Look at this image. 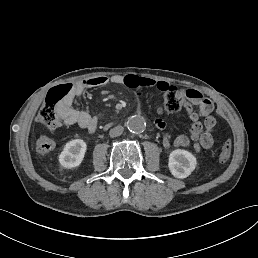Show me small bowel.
I'll return each instance as SVG.
<instances>
[{
    "label": "small bowel",
    "instance_id": "1",
    "mask_svg": "<svg viewBox=\"0 0 258 258\" xmlns=\"http://www.w3.org/2000/svg\"><path fill=\"white\" fill-rule=\"evenodd\" d=\"M108 84L124 85L133 89L156 87L161 92L170 86L165 81H156L152 78L141 77L133 74L112 76H96L83 79L74 84V96L80 95L87 89L104 87ZM73 99V98H72ZM72 99L67 101L60 109L59 113L65 125H77L80 128L87 129L89 132H95L97 128V118L91 116L88 112L78 110L72 106ZM190 120L191 127L188 135H179L172 142L171 136L165 134L162 144L166 150H169L172 145L175 147L192 146L195 151L199 152L202 149L207 150L213 146V131L216 121L211 115L213 110L212 102L205 98L203 94L195 89L186 91V100L183 105ZM201 118H204L202 123ZM156 126L164 128V123L161 120L155 121ZM55 147L52 139L41 136L38 139L36 150L41 156L48 155Z\"/></svg>",
    "mask_w": 258,
    "mask_h": 258
}]
</instances>
